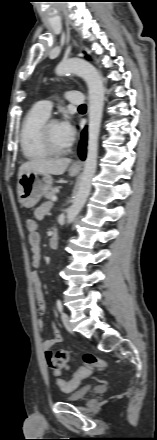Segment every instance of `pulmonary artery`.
<instances>
[{
  "mask_svg": "<svg viewBox=\"0 0 157 440\" xmlns=\"http://www.w3.org/2000/svg\"><path fill=\"white\" fill-rule=\"evenodd\" d=\"M66 97L72 104L80 105L83 103V95L78 91H69L66 93ZM52 106V102L49 99L41 100L36 104V107L47 116L50 115Z\"/></svg>",
  "mask_w": 157,
  "mask_h": 440,
  "instance_id": "1",
  "label": "pulmonary artery"
}]
</instances>
